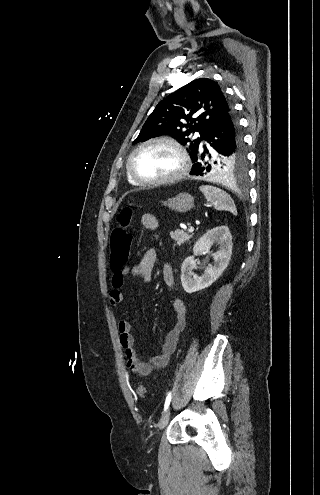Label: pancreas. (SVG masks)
I'll use <instances>...</instances> for the list:
<instances>
[{"mask_svg":"<svg viewBox=\"0 0 320 495\" xmlns=\"http://www.w3.org/2000/svg\"><path fill=\"white\" fill-rule=\"evenodd\" d=\"M170 236L172 239L175 240L177 245H182L189 241L192 238L193 234H186L184 231L177 229L175 231H171Z\"/></svg>","mask_w":320,"mask_h":495,"instance_id":"pancreas-1","label":"pancreas"}]
</instances>
